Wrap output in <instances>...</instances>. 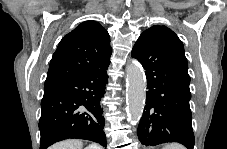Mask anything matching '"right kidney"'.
Returning a JSON list of instances; mask_svg holds the SVG:
<instances>
[{
    "mask_svg": "<svg viewBox=\"0 0 227 149\" xmlns=\"http://www.w3.org/2000/svg\"><path fill=\"white\" fill-rule=\"evenodd\" d=\"M86 149H97L95 144L89 145Z\"/></svg>",
    "mask_w": 227,
    "mask_h": 149,
    "instance_id": "ca27d5eb",
    "label": "right kidney"
}]
</instances>
